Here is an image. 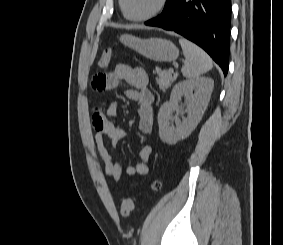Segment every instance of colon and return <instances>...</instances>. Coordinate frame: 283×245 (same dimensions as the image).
<instances>
[{
  "label": "colon",
  "mask_w": 283,
  "mask_h": 245,
  "mask_svg": "<svg viewBox=\"0 0 283 245\" xmlns=\"http://www.w3.org/2000/svg\"><path fill=\"white\" fill-rule=\"evenodd\" d=\"M113 57V50L108 48L104 50L97 61L99 67H106L110 64ZM160 188V182L158 180H153L150 184V190L157 191ZM135 194H129L124 197L120 204V212L123 216H130L133 213L135 205Z\"/></svg>",
  "instance_id": "1"
}]
</instances>
